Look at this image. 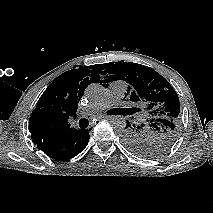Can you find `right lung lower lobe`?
<instances>
[{"label": "right lung lower lobe", "mask_w": 213, "mask_h": 213, "mask_svg": "<svg viewBox=\"0 0 213 213\" xmlns=\"http://www.w3.org/2000/svg\"><path fill=\"white\" fill-rule=\"evenodd\" d=\"M89 130H78L73 136L55 144H37L38 149L57 161H65L79 154L88 144Z\"/></svg>", "instance_id": "1"}]
</instances>
